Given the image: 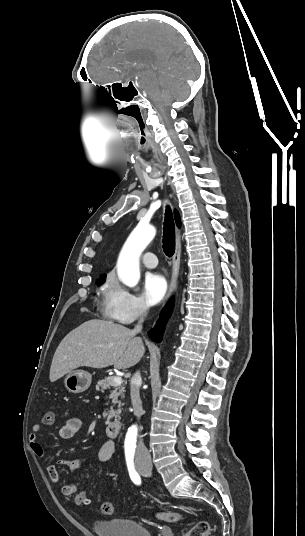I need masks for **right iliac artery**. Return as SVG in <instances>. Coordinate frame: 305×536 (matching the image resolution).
<instances>
[{
	"label": "right iliac artery",
	"mask_w": 305,
	"mask_h": 536,
	"mask_svg": "<svg viewBox=\"0 0 305 536\" xmlns=\"http://www.w3.org/2000/svg\"><path fill=\"white\" fill-rule=\"evenodd\" d=\"M126 463H127V467H128V471H129V475H130L131 480L133 481L134 484L140 485L141 484V478H140L139 474L135 470L133 459L126 456Z\"/></svg>",
	"instance_id": "obj_1"
}]
</instances>
